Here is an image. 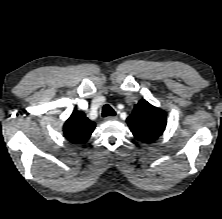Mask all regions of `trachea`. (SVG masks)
Here are the masks:
<instances>
[{"instance_id": "trachea-1", "label": "trachea", "mask_w": 222, "mask_h": 219, "mask_svg": "<svg viewBox=\"0 0 222 219\" xmlns=\"http://www.w3.org/2000/svg\"><path fill=\"white\" fill-rule=\"evenodd\" d=\"M116 115L114 109L110 105H104L102 109V116L107 117V116H114Z\"/></svg>"}]
</instances>
